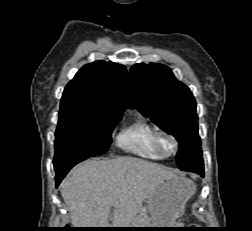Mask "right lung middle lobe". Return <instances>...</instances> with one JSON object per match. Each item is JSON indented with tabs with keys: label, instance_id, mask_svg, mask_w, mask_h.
<instances>
[{
	"label": "right lung middle lobe",
	"instance_id": "dd1d6c3e",
	"mask_svg": "<svg viewBox=\"0 0 252 231\" xmlns=\"http://www.w3.org/2000/svg\"><path fill=\"white\" fill-rule=\"evenodd\" d=\"M122 114L83 108H60L55 133L54 167L108 151L111 132Z\"/></svg>",
	"mask_w": 252,
	"mask_h": 231
}]
</instances>
